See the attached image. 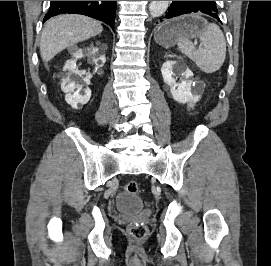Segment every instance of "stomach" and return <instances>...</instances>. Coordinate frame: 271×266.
<instances>
[{
  "mask_svg": "<svg viewBox=\"0 0 271 266\" xmlns=\"http://www.w3.org/2000/svg\"><path fill=\"white\" fill-rule=\"evenodd\" d=\"M205 24V20L198 15H185L159 25L155 30L154 39L160 46L170 48L181 39L199 36Z\"/></svg>",
  "mask_w": 271,
  "mask_h": 266,
  "instance_id": "obj_1",
  "label": "stomach"
}]
</instances>
